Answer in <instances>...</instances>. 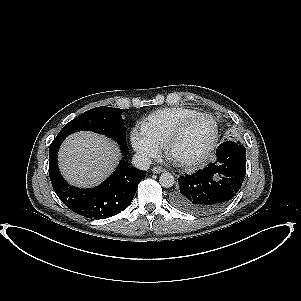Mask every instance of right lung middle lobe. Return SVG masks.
Returning <instances> with one entry per match:
<instances>
[{"label": "right lung middle lobe", "instance_id": "obj_1", "mask_svg": "<svg viewBox=\"0 0 301 301\" xmlns=\"http://www.w3.org/2000/svg\"><path fill=\"white\" fill-rule=\"evenodd\" d=\"M122 112L123 110L119 108H93L67 123L57 136L66 137L77 131L88 130L125 143L126 128L121 117Z\"/></svg>", "mask_w": 301, "mask_h": 301}]
</instances>
